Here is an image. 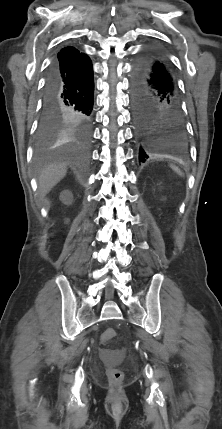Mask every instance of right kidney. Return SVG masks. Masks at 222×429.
Segmentation results:
<instances>
[{
	"instance_id": "ca27d5eb",
	"label": "right kidney",
	"mask_w": 222,
	"mask_h": 429,
	"mask_svg": "<svg viewBox=\"0 0 222 429\" xmlns=\"http://www.w3.org/2000/svg\"><path fill=\"white\" fill-rule=\"evenodd\" d=\"M60 200L64 204H71L73 201V195L69 190H64L60 194ZM66 222H68V220H66Z\"/></svg>"
}]
</instances>
